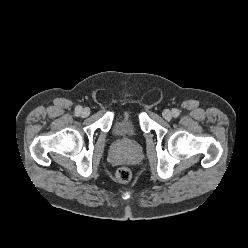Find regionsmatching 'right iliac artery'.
Returning a JSON list of instances; mask_svg holds the SVG:
<instances>
[{
    "instance_id": "82829eb1",
    "label": "right iliac artery",
    "mask_w": 248,
    "mask_h": 248,
    "mask_svg": "<svg viewBox=\"0 0 248 248\" xmlns=\"http://www.w3.org/2000/svg\"><path fill=\"white\" fill-rule=\"evenodd\" d=\"M81 111H82V107L81 106H77L75 108V112H76L77 115H79L81 113Z\"/></svg>"
}]
</instances>
